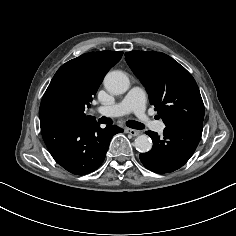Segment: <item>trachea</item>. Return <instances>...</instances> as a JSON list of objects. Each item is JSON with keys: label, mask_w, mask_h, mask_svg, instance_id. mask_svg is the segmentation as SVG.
<instances>
[{"label": "trachea", "mask_w": 236, "mask_h": 236, "mask_svg": "<svg viewBox=\"0 0 236 236\" xmlns=\"http://www.w3.org/2000/svg\"><path fill=\"white\" fill-rule=\"evenodd\" d=\"M99 122L102 123V124H112L113 120L103 116L99 119ZM126 125L130 128L138 129V130L143 129L145 127L144 124H142L140 122H137V121H134V120L127 121Z\"/></svg>", "instance_id": "3493384b"}]
</instances>
